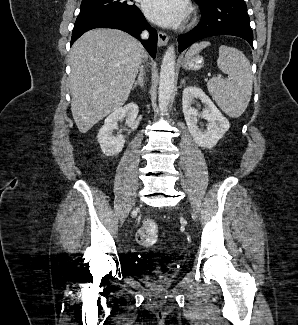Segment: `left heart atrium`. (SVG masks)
Segmentation results:
<instances>
[{
	"label": "left heart atrium",
	"mask_w": 298,
	"mask_h": 325,
	"mask_svg": "<svg viewBox=\"0 0 298 325\" xmlns=\"http://www.w3.org/2000/svg\"><path fill=\"white\" fill-rule=\"evenodd\" d=\"M146 17L161 27H176L187 15L186 4L182 0H144Z\"/></svg>",
	"instance_id": "39dd6f15"
}]
</instances>
